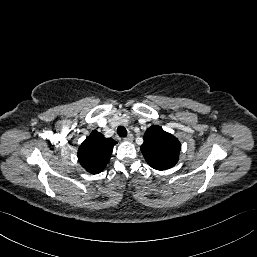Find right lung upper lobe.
I'll return each mask as SVG.
<instances>
[{
	"mask_svg": "<svg viewBox=\"0 0 257 257\" xmlns=\"http://www.w3.org/2000/svg\"><path fill=\"white\" fill-rule=\"evenodd\" d=\"M116 143L115 140L105 138L103 134L93 130L78 149L80 164L91 174L102 172L110 160Z\"/></svg>",
	"mask_w": 257,
	"mask_h": 257,
	"instance_id": "right-lung-upper-lobe-1",
	"label": "right lung upper lobe"
}]
</instances>
